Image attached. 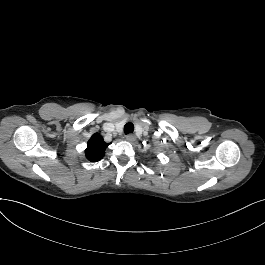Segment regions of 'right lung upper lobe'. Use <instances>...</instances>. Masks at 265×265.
I'll list each match as a JSON object with an SVG mask.
<instances>
[{"instance_id": "1", "label": "right lung upper lobe", "mask_w": 265, "mask_h": 265, "mask_svg": "<svg viewBox=\"0 0 265 265\" xmlns=\"http://www.w3.org/2000/svg\"><path fill=\"white\" fill-rule=\"evenodd\" d=\"M109 143L104 142L102 136L98 133L92 135L88 141L87 149L85 150L86 158L91 162H97L105 155V150Z\"/></svg>"}]
</instances>
